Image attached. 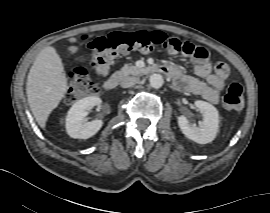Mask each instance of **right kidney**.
Returning <instances> with one entry per match:
<instances>
[{"mask_svg": "<svg viewBox=\"0 0 270 213\" xmlns=\"http://www.w3.org/2000/svg\"><path fill=\"white\" fill-rule=\"evenodd\" d=\"M102 100L98 96H89L78 100L69 109L66 116L67 134L75 139H88L95 135L102 127V120L87 122L86 116L95 106H100Z\"/></svg>", "mask_w": 270, "mask_h": 213, "instance_id": "1", "label": "right kidney"}]
</instances>
